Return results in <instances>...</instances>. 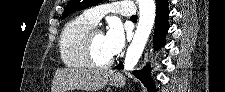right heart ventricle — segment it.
<instances>
[{"label":"right heart ventricle","mask_w":225,"mask_h":92,"mask_svg":"<svg viewBox=\"0 0 225 92\" xmlns=\"http://www.w3.org/2000/svg\"><path fill=\"white\" fill-rule=\"evenodd\" d=\"M93 27L94 25L82 16L65 24L59 39L60 58L65 65L80 69L89 67L83 52V40Z\"/></svg>","instance_id":"1"}]
</instances>
